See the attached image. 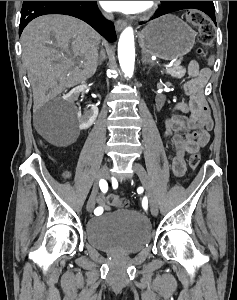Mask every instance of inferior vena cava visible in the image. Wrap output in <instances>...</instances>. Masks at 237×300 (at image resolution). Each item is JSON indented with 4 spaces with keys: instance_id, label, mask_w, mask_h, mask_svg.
<instances>
[{
    "instance_id": "obj_1",
    "label": "inferior vena cava",
    "mask_w": 237,
    "mask_h": 300,
    "mask_svg": "<svg viewBox=\"0 0 237 300\" xmlns=\"http://www.w3.org/2000/svg\"><path fill=\"white\" fill-rule=\"evenodd\" d=\"M107 19H110V21H113L114 17L113 15H106Z\"/></svg>"
}]
</instances>
